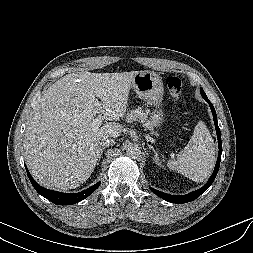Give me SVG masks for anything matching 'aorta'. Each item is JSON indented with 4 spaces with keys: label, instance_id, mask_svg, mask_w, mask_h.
Masks as SVG:
<instances>
[{
    "label": "aorta",
    "instance_id": "762f6f07",
    "mask_svg": "<svg viewBox=\"0 0 253 253\" xmlns=\"http://www.w3.org/2000/svg\"><path fill=\"white\" fill-rule=\"evenodd\" d=\"M126 154L132 159H137L141 154L140 147L138 145H130L126 149Z\"/></svg>",
    "mask_w": 253,
    "mask_h": 253
}]
</instances>
